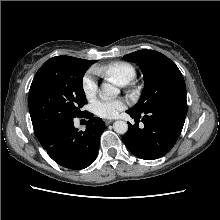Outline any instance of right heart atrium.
Here are the masks:
<instances>
[{"mask_svg":"<svg viewBox=\"0 0 220 220\" xmlns=\"http://www.w3.org/2000/svg\"><path fill=\"white\" fill-rule=\"evenodd\" d=\"M82 90L88 100H92L98 92V84L91 74H87L82 80Z\"/></svg>","mask_w":220,"mask_h":220,"instance_id":"d8ad5b80","label":"right heart atrium"}]
</instances>
